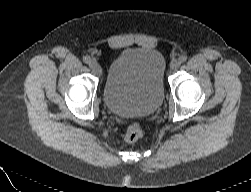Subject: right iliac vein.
Returning <instances> with one entry per match:
<instances>
[{
    "instance_id": "obj_1",
    "label": "right iliac vein",
    "mask_w": 251,
    "mask_h": 192,
    "mask_svg": "<svg viewBox=\"0 0 251 192\" xmlns=\"http://www.w3.org/2000/svg\"><path fill=\"white\" fill-rule=\"evenodd\" d=\"M89 67L96 75H101L102 70L97 61L91 60V62L89 63Z\"/></svg>"
}]
</instances>
